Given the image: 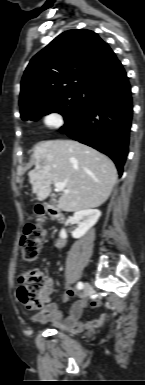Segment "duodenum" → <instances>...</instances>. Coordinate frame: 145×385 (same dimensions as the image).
<instances>
[{"label":"duodenum","mask_w":145,"mask_h":385,"mask_svg":"<svg viewBox=\"0 0 145 385\" xmlns=\"http://www.w3.org/2000/svg\"><path fill=\"white\" fill-rule=\"evenodd\" d=\"M37 213L38 214H46L59 223H64V221H65V217L62 214V212L58 208L54 207L51 204L40 205L39 209L37 210ZM63 244H64V240L62 238H60L57 241V245L62 246Z\"/></svg>","instance_id":"1"}]
</instances>
